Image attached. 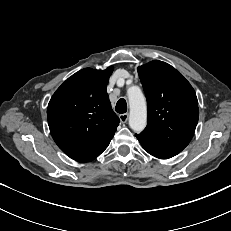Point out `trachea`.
<instances>
[{"label": "trachea", "instance_id": "3493384b", "mask_svg": "<svg viewBox=\"0 0 231 231\" xmlns=\"http://www.w3.org/2000/svg\"><path fill=\"white\" fill-rule=\"evenodd\" d=\"M115 110L117 113L123 114L127 111V103L126 100L121 98L118 100Z\"/></svg>", "mask_w": 231, "mask_h": 231}]
</instances>
